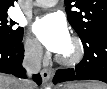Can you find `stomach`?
Instances as JSON below:
<instances>
[{
  "mask_svg": "<svg viewBox=\"0 0 107 89\" xmlns=\"http://www.w3.org/2000/svg\"><path fill=\"white\" fill-rule=\"evenodd\" d=\"M61 89H84V88H80L75 85L68 84V85H64Z\"/></svg>",
  "mask_w": 107,
  "mask_h": 89,
  "instance_id": "stomach-1",
  "label": "stomach"
}]
</instances>
